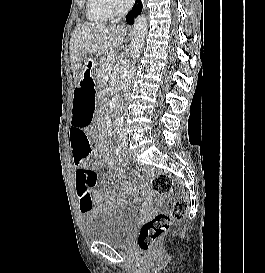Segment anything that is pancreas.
Segmentation results:
<instances>
[{
    "mask_svg": "<svg viewBox=\"0 0 265 273\" xmlns=\"http://www.w3.org/2000/svg\"><path fill=\"white\" fill-rule=\"evenodd\" d=\"M114 60H115V56L113 54H109L100 63V65L97 68V71L95 73V76L98 79L99 83H104L105 82L104 81L105 72L109 67H111V65L114 63Z\"/></svg>",
    "mask_w": 265,
    "mask_h": 273,
    "instance_id": "cf45deb5",
    "label": "pancreas"
}]
</instances>
